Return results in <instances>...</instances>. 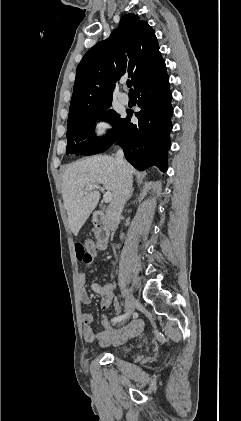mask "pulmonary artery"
Instances as JSON below:
<instances>
[{"instance_id":"e3ab8cb5","label":"pulmonary artery","mask_w":241,"mask_h":421,"mask_svg":"<svg viewBox=\"0 0 241 421\" xmlns=\"http://www.w3.org/2000/svg\"><path fill=\"white\" fill-rule=\"evenodd\" d=\"M118 99L124 105L129 103V96L126 93H120Z\"/></svg>"}]
</instances>
